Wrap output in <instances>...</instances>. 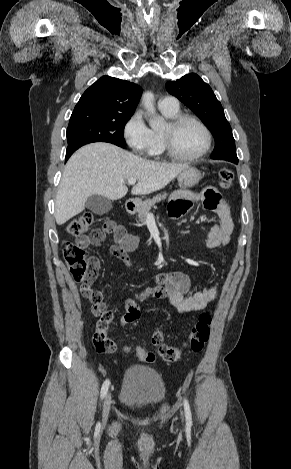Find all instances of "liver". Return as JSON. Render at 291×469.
Listing matches in <instances>:
<instances>
[{"mask_svg":"<svg viewBox=\"0 0 291 469\" xmlns=\"http://www.w3.org/2000/svg\"><path fill=\"white\" fill-rule=\"evenodd\" d=\"M187 164L153 162L115 145L96 142L83 146L68 160L55 199L58 225L81 213L94 194L110 200L123 198L126 181L134 178L133 195H145L167 186Z\"/></svg>","mask_w":291,"mask_h":469,"instance_id":"liver-1","label":"liver"}]
</instances>
